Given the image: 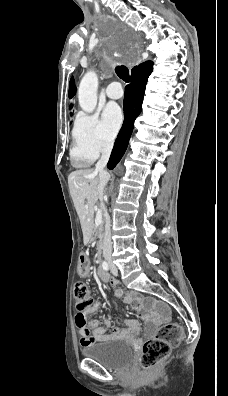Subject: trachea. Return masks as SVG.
Instances as JSON below:
<instances>
[{
  "label": "trachea",
  "mask_w": 228,
  "mask_h": 396,
  "mask_svg": "<svg viewBox=\"0 0 228 396\" xmlns=\"http://www.w3.org/2000/svg\"><path fill=\"white\" fill-rule=\"evenodd\" d=\"M116 74L126 83L129 82L130 77H129V70L127 67H125L124 65L121 66H117L115 68Z\"/></svg>",
  "instance_id": "1"
}]
</instances>
